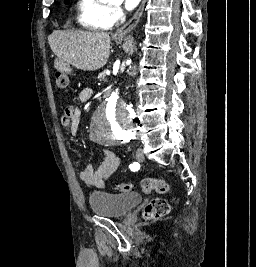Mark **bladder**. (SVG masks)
I'll return each mask as SVG.
<instances>
[{
	"instance_id": "bladder-1",
	"label": "bladder",
	"mask_w": 256,
	"mask_h": 267,
	"mask_svg": "<svg viewBox=\"0 0 256 267\" xmlns=\"http://www.w3.org/2000/svg\"><path fill=\"white\" fill-rule=\"evenodd\" d=\"M141 195L112 194L95 191L89 198L91 210L97 215L107 217H124L138 204L142 203Z\"/></svg>"
}]
</instances>
